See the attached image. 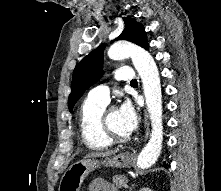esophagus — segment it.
<instances>
[{"instance_id":"34e87169","label":"esophagus","mask_w":221,"mask_h":191,"mask_svg":"<svg viewBox=\"0 0 221 191\" xmlns=\"http://www.w3.org/2000/svg\"><path fill=\"white\" fill-rule=\"evenodd\" d=\"M145 125H146V132H145V139H146L147 136H148V133H149V123H148V115H147V113H145Z\"/></svg>"}]
</instances>
